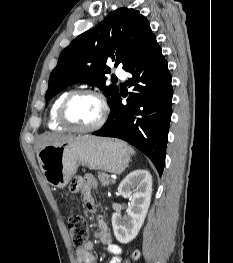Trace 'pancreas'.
I'll return each instance as SVG.
<instances>
[{
    "instance_id": "pancreas-1",
    "label": "pancreas",
    "mask_w": 233,
    "mask_h": 263,
    "mask_svg": "<svg viewBox=\"0 0 233 263\" xmlns=\"http://www.w3.org/2000/svg\"><path fill=\"white\" fill-rule=\"evenodd\" d=\"M98 179L101 182L102 186H107L109 184L115 183L114 180L109 179V175L103 172L98 173Z\"/></svg>"
}]
</instances>
